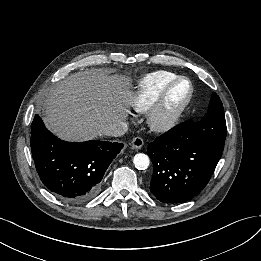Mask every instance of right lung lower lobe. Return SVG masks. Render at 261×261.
<instances>
[{
	"instance_id": "1",
	"label": "right lung lower lobe",
	"mask_w": 261,
	"mask_h": 261,
	"mask_svg": "<svg viewBox=\"0 0 261 261\" xmlns=\"http://www.w3.org/2000/svg\"><path fill=\"white\" fill-rule=\"evenodd\" d=\"M122 143H70L48 131L36 115L31 125V151L43 184L59 198L85 201L99 191L101 180Z\"/></svg>"
}]
</instances>
